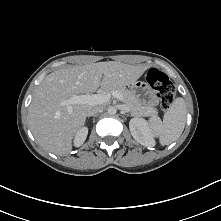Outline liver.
I'll use <instances>...</instances> for the list:
<instances>
[{"label": "liver", "instance_id": "1", "mask_svg": "<svg viewBox=\"0 0 221 221\" xmlns=\"http://www.w3.org/2000/svg\"><path fill=\"white\" fill-rule=\"evenodd\" d=\"M145 66L120 62H98L52 72L35 91L28 110L30 129L41 147L66 156L72 140L85 124L89 111L98 105L72 104V112L62 102L73 96L95 92L100 86L129 85L146 71Z\"/></svg>", "mask_w": 221, "mask_h": 221}]
</instances>
